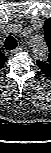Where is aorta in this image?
Returning <instances> with one entry per match:
<instances>
[{"label":"aorta","mask_w":51,"mask_h":153,"mask_svg":"<svg viewBox=\"0 0 51 153\" xmlns=\"http://www.w3.org/2000/svg\"><path fill=\"white\" fill-rule=\"evenodd\" d=\"M29 40V46L35 57H38L40 59L45 58L47 51L44 38L38 35H34L31 36Z\"/></svg>","instance_id":"obj_1"}]
</instances>
